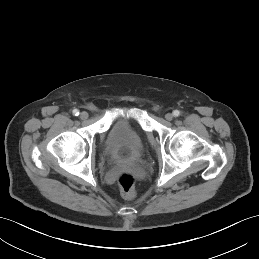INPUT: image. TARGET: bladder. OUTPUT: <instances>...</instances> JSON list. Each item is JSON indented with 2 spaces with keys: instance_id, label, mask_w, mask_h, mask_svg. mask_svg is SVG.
Segmentation results:
<instances>
[{
  "instance_id": "1",
  "label": "bladder",
  "mask_w": 259,
  "mask_h": 259,
  "mask_svg": "<svg viewBox=\"0 0 259 259\" xmlns=\"http://www.w3.org/2000/svg\"><path fill=\"white\" fill-rule=\"evenodd\" d=\"M104 148L110 158L119 161L135 160L144 151L141 133L127 118H119L109 127Z\"/></svg>"
}]
</instances>
